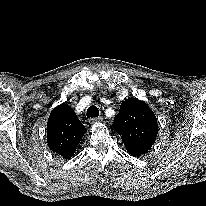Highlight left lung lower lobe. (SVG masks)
<instances>
[{
    "label": "left lung lower lobe",
    "instance_id": "left-lung-lower-lobe-1",
    "mask_svg": "<svg viewBox=\"0 0 206 206\" xmlns=\"http://www.w3.org/2000/svg\"><path fill=\"white\" fill-rule=\"evenodd\" d=\"M131 155H133V156H139V155H141V154H137V153H130Z\"/></svg>",
    "mask_w": 206,
    "mask_h": 206
}]
</instances>
